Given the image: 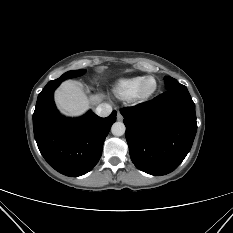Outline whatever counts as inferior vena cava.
<instances>
[{
    "label": "inferior vena cava",
    "instance_id": "602c4592",
    "mask_svg": "<svg viewBox=\"0 0 233 233\" xmlns=\"http://www.w3.org/2000/svg\"><path fill=\"white\" fill-rule=\"evenodd\" d=\"M112 107L107 103H102L98 105L95 109V113L100 117H107L111 114Z\"/></svg>",
    "mask_w": 233,
    "mask_h": 233
}]
</instances>
